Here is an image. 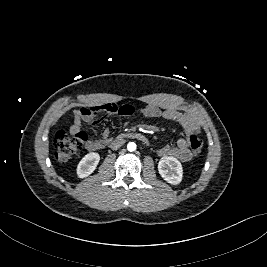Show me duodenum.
<instances>
[{
    "label": "duodenum",
    "mask_w": 267,
    "mask_h": 267,
    "mask_svg": "<svg viewBox=\"0 0 267 267\" xmlns=\"http://www.w3.org/2000/svg\"><path fill=\"white\" fill-rule=\"evenodd\" d=\"M128 138L136 139V140H139L143 143H148V138L144 134L139 133V132H131V133L122 134V135L118 136L114 142L120 143L123 140L128 139Z\"/></svg>",
    "instance_id": "410a0bca"
}]
</instances>
